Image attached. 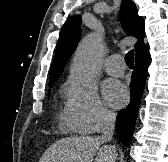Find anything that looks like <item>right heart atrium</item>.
Segmentation results:
<instances>
[{
	"mask_svg": "<svg viewBox=\"0 0 168 162\" xmlns=\"http://www.w3.org/2000/svg\"><path fill=\"white\" fill-rule=\"evenodd\" d=\"M114 118V113L94 86L68 81L64 120L70 128L82 133H96L109 126Z\"/></svg>",
	"mask_w": 168,
	"mask_h": 162,
	"instance_id": "1",
	"label": "right heart atrium"
}]
</instances>
